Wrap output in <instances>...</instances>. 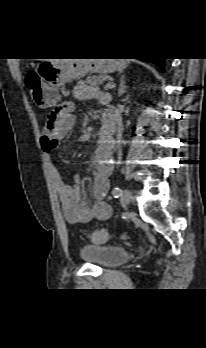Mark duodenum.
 Wrapping results in <instances>:
<instances>
[{
	"label": "duodenum",
	"instance_id": "duodenum-1",
	"mask_svg": "<svg viewBox=\"0 0 206 348\" xmlns=\"http://www.w3.org/2000/svg\"><path fill=\"white\" fill-rule=\"evenodd\" d=\"M103 126L97 132V140L100 147L112 150L115 137L116 115L113 110L106 109L103 112Z\"/></svg>",
	"mask_w": 206,
	"mask_h": 348
}]
</instances>
